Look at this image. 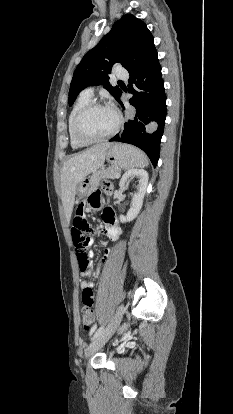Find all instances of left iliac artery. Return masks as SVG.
Returning <instances> with one entry per match:
<instances>
[{
	"instance_id": "left-iliac-artery-1",
	"label": "left iliac artery",
	"mask_w": 233,
	"mask_h": 414,
	"mask_svg": "<svg viewBox=\"0 0 233 414\" xmlns=\"http://www.w3.org/2000/svg\"><path fill=\"white\" fill-rule=\"evenodd\" d=\"M94 330H95V327H94ZM103 330H104V326L100 327V328H99V329L95 332V334H94V336H93L92 340H94L97 336H99V335L103 332Z\"/></svg>"
}]
</instances>
